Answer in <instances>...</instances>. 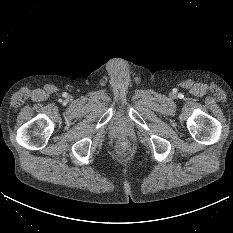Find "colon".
I'll return each instance as SVG.
<instances>
[{"label":"colon","mask_w":233,"mask_h":233,"mask_svg":"<svg viewBox=\"0 0 233 233\" xmlns=\"http://www.w3.org/2000/svg\"><path fill=\"white\" fill-rule=\"evenodd\" d=\"M117 151L121 154H126L129 151V145L125 141H119L117 144Z\"/></svg>","instance_id":"colon-1"}]
</instances>
